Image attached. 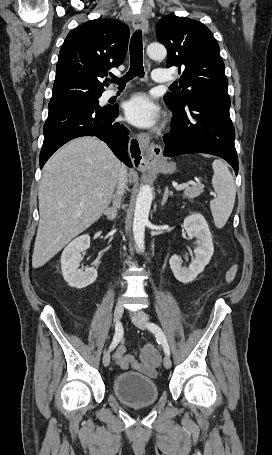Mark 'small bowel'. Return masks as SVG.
<instances>
[{"label":"small bowel","instance_id":"c3829d8e","mask_svg":"<svg viewBox=\"0 0 272 455\" xmlns=\"http://www.w3.org/2000/svg\"><path fill=\"white\" fill-rule=\"evenodd\" d=\"M236 273H237V267L231 266L225 274V280L228 283L232 282L236 277ZM125 351H126L125 347L123 345H120L114 354L115 364L120 369L128 370L130 368H133L148 376H151V377L156 376V370L153 365L137 362L132 356L126 355Z\"/></svg>","mask_w":272,"mask_h":455}]
</instances>
